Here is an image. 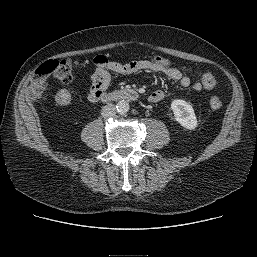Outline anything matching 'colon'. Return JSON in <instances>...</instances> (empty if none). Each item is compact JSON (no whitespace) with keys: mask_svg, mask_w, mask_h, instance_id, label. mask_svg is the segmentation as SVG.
<instances>
[{"mask_svg":"<svg viewBox=\"0 0 257 257\" xmlns=\"http://www.w3.org/2000/svg\"><path fill=\"white\" fill-rule=\"evenodd\" d=\"M153 62L163 65L171 66L168 59L156 56L151 59ZM183 72H189L187 68L181 69ZM49 76H53L61 83L67 84L73 78V63L70 59L49 60L40 65L35 71L32 84L29 89L31 98H37L40 95L42 86ZM200 82L206 89H212L216 86V79L210 73H204L200 76ZM71 94L67 90L60 91L56 96V102L59 105H68L71 102ZM210 107L214 110L222 107V100L218 95H212L209 99Z\"/></svg>","mask_w":257,"mask_h":257,"instance_id":"1","label":"colon"}]
</instances>
